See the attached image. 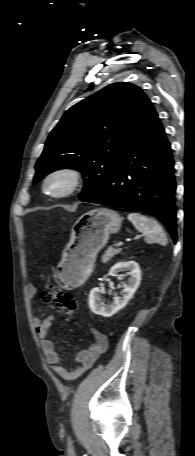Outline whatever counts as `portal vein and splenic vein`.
I'll list each match as a JSON object with an SVG mask.
<instances>
[{
	"instance_id": "portal-vein-and-splenic-vein-1",
	"label": "portal vein and splenic vein",
	"mask_w": 195,
	"mask_h": 456,
	"mask_svg": "<svg viewBox=\"0 0 195 456\" xmlns=\"http://www.w3.org/2000/svg\"><path fill=\"white\" fill-rule=\"evenodd\" d=\"M123 244H124V242H123V241H121V242H119V243L115 244V246H121V245H123Z\"/></svg>"
}]
</instances>
